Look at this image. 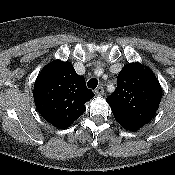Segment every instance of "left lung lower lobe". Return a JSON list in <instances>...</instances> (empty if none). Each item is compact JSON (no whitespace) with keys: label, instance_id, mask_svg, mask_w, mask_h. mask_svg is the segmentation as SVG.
<instances>
[{"label":"left lung lower lobe","instance_id":"0a47b994","mask_svg":"<svg viewBox=\"0 0 175 175\" xmlns=\"http://www.w3.org/2000/svg\"><path fill=\"white\" fill-rule=\"evenodd\" d=\"M124 129L129 130V131H136L138 129H140L141 127H138L136 125L133 124H129V123H119Z\"/></svg>","mask_w":175,"mask_h":175}]
</instances>
